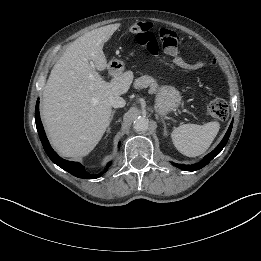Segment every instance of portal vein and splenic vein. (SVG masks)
Masks as SVG:
<instances>
[{
    "label": "portal vein and splenic vein",
    "instance_id": "1",
    "mask_svg": "<svg viewBox=\"0 0 261 261\" xmlns=\"http://www.w3.org/2000/svg\"><path fill=\"white\" fill-rule=\"evenodd\" d=\"M91 67H92V68H94V65H93V63H91Z\"/></svg>",
    "mask_w": 261,
    "mask_h": 261
}]
</instances>
